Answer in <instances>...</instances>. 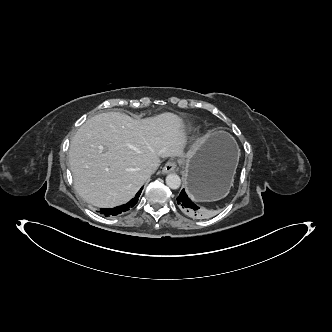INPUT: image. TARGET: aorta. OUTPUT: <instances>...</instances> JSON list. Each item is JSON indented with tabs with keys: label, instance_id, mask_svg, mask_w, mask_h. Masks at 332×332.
Returning <instances> with one entry per match:
<instances>
[{
	"label": "aorta",
	"instance_id": "1",
	"mask_svg": "<svg viewBox=\"0 0 332 332\" xmlns=\"http://www.w3.org/2000/svg\"><path fill=\"white\" fill-rule=\"evenodd\" d=\"M166 184L171 189H178L181 185V179L177 174L171 173L166 177Z\"/></svg>",
	"mask_w": 332,
	"mask_h": 332
}]
</instances>
